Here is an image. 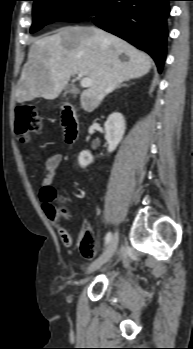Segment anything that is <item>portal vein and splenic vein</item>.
Segmentation results:
<instances>
[{
    "mask_svg": "<svg viewBox=\"0 0 193 349\" xmlns=\"http://www.w3.org/2000/svg\"><path fill=\"white\" fill-rule=\"evenodd\" d=\"M79 76L81 77V81H80V85L84 88L90 87L93 82L90 78L88 77H83L82 74H79Z\"/></svg>",
    "mask_w": 193,
    "mask_h": 349,
    "instance_id": "18ae733b",
    "label": "portal vein and splenic vein"
}]
</instances>
